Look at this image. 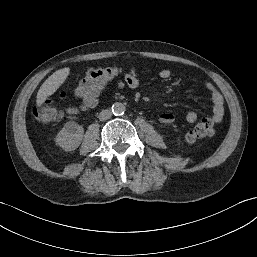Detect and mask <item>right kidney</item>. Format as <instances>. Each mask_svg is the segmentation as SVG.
Here are the masks:
<instances>
[{"instance_id":"ca27d5eb","label":"right kidney","mask_w":257,"mask_h":257,"mask_svg":"<svg viewBox=\"0 0 257 257\" xmlns=\"http://www.w3.org/2000/svg\"><path fill=\"white\" fill-rule=\"evenodd\" d=\"M83 127L73 121L67 122L55 138L56 145L65 151L78 148L83 138Z\"/></svg>"}]
</instances>
